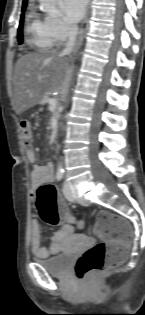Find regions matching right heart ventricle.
I'll return each mask as SVG.
<instances>
[{"mask_svg": "<svg viewBox=\"0 0 145 315\" xmlns=\"http://www.w3.org/2000/svg\"><path fill=\"white\" fill-rule=\"evenodd\" d=\"M26 33L29 46L36 51H47L56 44L46 20L35 10H31L27 15Z\"/></svg>", "mask_w": 145, "mask_h": 315, "instance_id": "obj_1", "label": "right heart ventricle"}]
</instances>
